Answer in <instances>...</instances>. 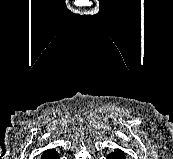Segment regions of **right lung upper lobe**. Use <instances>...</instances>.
I'll return each mask as SVG.
<instances>
[{"label":"right lung upper lobe","mask_w":173,"mask_h":159,"mask_svg":"<svg viewBox=\"0 0 173 159\" xmlns=\"http://www.w3.org/2000/svg\"><path fill=\"white\" fill-rule=\"evenodd\" d=\"M50 151H53V149H51V150H47L46 152H50ZM46 152H45V153H46Z\"/></svg>","instance_id":"1"}]
</instances>
